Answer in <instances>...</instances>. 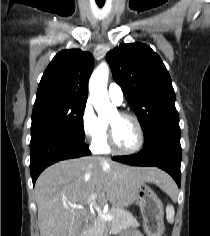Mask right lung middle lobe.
I'll return each instance as SVG.
<instances>
[{"mask_svg": "<svg viewBox=\"0 0 210 236\" xmlns=\"http://www.w3.org/2000/svg\"><path fill=\"white\" fill-rule=\"evenodd\" d=\"M86 101L74 98H51L35 102L31 136L44 132H65L84 137L83 113Z\"/></svg>", "mask_w": 210, "mask_h": 236, "instance_id": "obj_1", "label": "right lung middle lobe"}]
</instances>
